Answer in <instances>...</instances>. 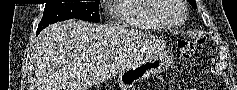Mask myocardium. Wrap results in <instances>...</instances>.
<instances>
[{
	"mask_svg": "<svg viewBox=\"0 0 237 90\" xmlns=\"http://www.w3.org/2000/svg\"><path fill=\"white\" fill-rule=\"evenodd\" d=\"M156 3H163V5L166 6V8H160V11H154L156 21L163 29L177 31L184 26L187 20V6L185 0H156ZM170 15H181V19L175 25H168L162 18H170Z\"/></svg>",
	"mask_w": 237,
	"mask_h": 90,
	"instance_id": "obj_1",
	"label": "myocardium"
}]
</instances>
